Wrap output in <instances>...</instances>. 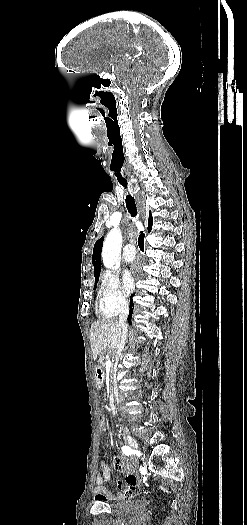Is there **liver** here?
Here are the masks:
<instances>
[{
  "instance_id": "liver-1",
  "label": "liver",
  "mask_w": 247,
  "mask_h": 525,
  "mask_svg": "<svg viewBox=\"0 0 247 525\" xmlns=\"http://www.w3.org/2000/svg\"><path fill=\"white\" fill-rule=\"evenodd\" d=\"M122 329L117 319H102L91 325L92 355L96 361L102 351H117Z\"/></svg>"
}]
</instances>
